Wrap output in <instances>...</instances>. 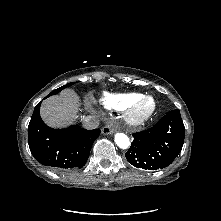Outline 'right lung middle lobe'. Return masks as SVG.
Returning <instances> with one entry per match:
<instances>
[{"instance_id": "1", "label": "right lung middle lobe", "mask_w": 221, "mask_h": 221, "mask_svg": "<svg viewBox=\"0 0 221 221\" xmlns=\"http://www.w3.org/2000/svg\"><path fill=\"white\" fill-rule=\"evenodd\" d=\"M74 83H75V82H71V83L66 84V85H64V86H62V87H60V88H58V89H56V90H53L48 96L57 94L58 92H60V91L63 90L64 88L69 87V86L73 85Z\"/></svg>"}]
</instances>
